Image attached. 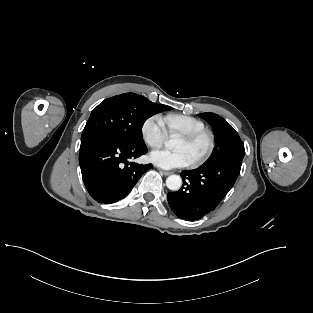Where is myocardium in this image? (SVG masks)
Segmentation results:
<instances>
[{
    "instance_id": "obj_1",
    "label": "myocardium",
    "mask_w": 313,
    "mask_h": 313,
    "mask_svg": "<svg viewBox=\"0 0 313 313\" xmlns=\"http://www.w3.org/2000/svg\"><path fill=\"white\" fill-rule=\"evenodd\" d=\"M180 138L188 143H194L201 138L207 139V147L205 151L197 158H195L193 161H191L192 166H199L203 164L210 157L215 148V137L213 133L207 129L199 130L193 133L183 134L180 135Z\"/></svg>"
}]
</instances>
